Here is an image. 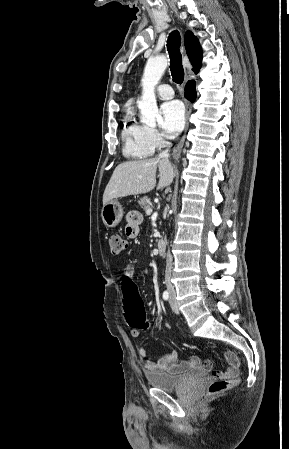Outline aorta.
<instances>
[{"label": "aorta", "mask_w": 289, "mask_h": 449, "mask_svg": "<svg viewBox=\"0 0 289 449\" xmlns=\"http://www.w3.org/2000/svg\"><path fill=\"white\" fill-rule=\"evenodd\" d=\"M168 60L164 55L149 58L141 80L142 97L138 102L141 112V122L148 126H155L159 116L155 96V86L167 68Z\"/></svg>", "instance_id": "obj_1"}]
</instances>
